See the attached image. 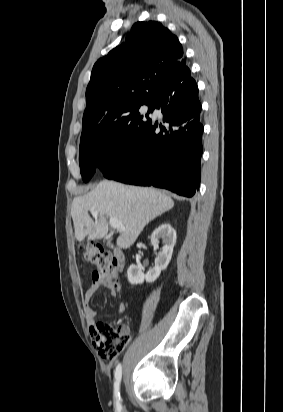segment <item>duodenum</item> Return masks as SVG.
<instances>
[{
	"instance_id": "1",
	"label": "duodenum",
	"mask_w": 283,
	"mask_h": 412,
	"mask_svg": "<svg viewBox=\"0 0 283 412\" xmlns=\"http://www.w3.org/2000/svg\"><path fill=\"white\" fill-rule=\"evenodd\" d=\"M113 257L116 262L117 268L122 269L125 263L124 254L120 248L116 247L113 251Z\"/></svg>"
}]
</instances>
